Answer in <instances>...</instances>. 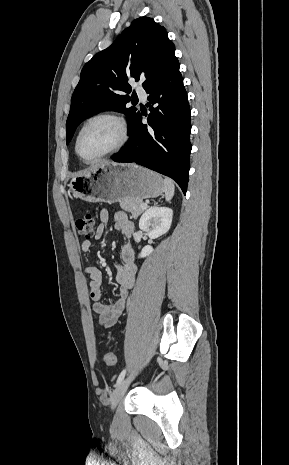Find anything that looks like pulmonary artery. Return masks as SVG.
<instances>
[{
    "label": "pulmonary artery",
    "mask_w": 289,
    "mask_h": 465,
    "mask_svg": "<svg viewBox=\"0 0 289 465\" xmlns=\"http://www.w3.org/2000/svg\"><path fill=\"white\" fill-rule=\"evenodd\" d=\"M136 91H137V94H138L143 100L146 99V92H145V90H144L141 86H139V87L137 88Z\"/></svg>",
    "instance_id": "pulmonary-artery-1"
}]
</instances>
